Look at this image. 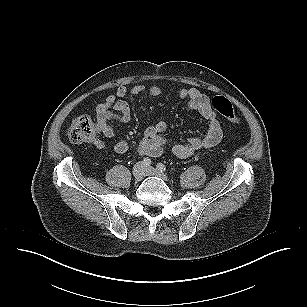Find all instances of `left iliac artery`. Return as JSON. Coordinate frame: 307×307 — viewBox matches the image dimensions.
Instances as JSON below:
<instances>
[{"label":"left iliac artery","mask_w":307,"mask_h":307,"mask_svg":"<svg viewBox=\"0 0 307 307\" xmlns=\"http://www.w3.org/2000/svg\"><path fill=\"white\" fill-rule=\"evenodd\" d=\"M156 167L161 172L166 171V166L163 163H158Z\"/></svg>","instance_id":"1"}]
</instances>
